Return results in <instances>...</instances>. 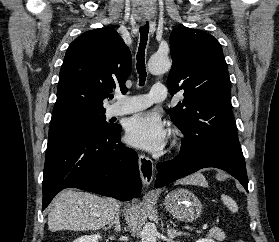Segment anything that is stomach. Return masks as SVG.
<instances>
[{"instance_id":"1","label":"stomach","mask_w":279,"mask_h":242,"mask_svg":"<svg viewBox=\"0 0 279 242\" xmlns=\"http://www.w3.org/2000/svg\"><path fill=\"white\" fill-rule=\"evenodd\" d=\"M166 210L176 219L185 222L196 220L202 212V203L198 197L187 189H176L164 200Z\"/></svg>"}]
</instances>
